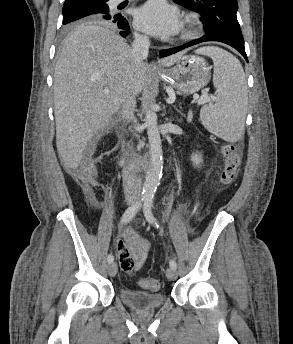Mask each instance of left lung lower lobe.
<instances>
[{"mask_svg": "<svg viewBox=\"0 0 293 344\" xmlns=\"http://www.w3.org/2000/svg\"><path fill=\"white\" fill-rule=\"evenodd\" d=\"M207 41H218V42H222V43H225V44L232 46L237 51H239L242 54V56L246 59V61L248 62L247 55L245 53L244 44L237 43V42H235L229 38H226L223 36H218V35H213V34H205L204 36H202L201 38H199L197 40H194L192 42H189L187 44H184V45L176 47V48L161 50L160 55L162 57H166V56H169V55L174 54L176 52H179V51H181L187 47H190V46H193L195 44L202 43V42H207Z\"/></svg>", "mask_w": 293, "mask_h": 344, "instance_id": "left-lung-lower-lobe-1", "label": "left lung lower lobe"}]
</instances>
